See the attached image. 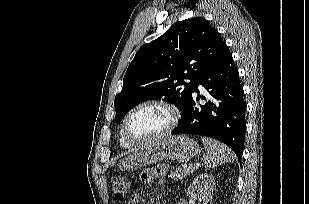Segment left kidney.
Segmentation results:
<instances>
[{"label": "left kidney", "instance_id": "1", "mask_svg": "<svg viewBox=\"0 0 309 204\" xmlns=\"http://www.w3.org/2000/svg\"><path fill=\"white\" fill-rule=\"evenodd\" d=\"M214 186L215 177L213 175L200 174L188 187L187 195L194 200L203 201V204H208L212 200Z\"/></svg>", "mask_w": 309, "mask_h": 204}]
</instances>
